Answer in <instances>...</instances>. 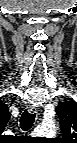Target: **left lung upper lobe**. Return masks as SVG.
I'll use <instances>...</instances> for the list:
<instances>
[{
	"mask_svg": "<svg viewBox=\"0 0 77 143\" xmlns=\"http://www.w3.org/2000/svg\"><path fill=\"white\" fill-rule=\"evenodd\" d=\"M56 112L60 118L63 140L71 143L72 139L77 138V103L73 101L60 102Z\"/></svg>",
	"mask_w": 77,
	"mask_h": 143,
	"instance_id": "1",
	"label": "left lung upper lobe"
}]
</instances>
